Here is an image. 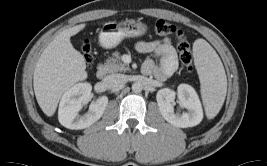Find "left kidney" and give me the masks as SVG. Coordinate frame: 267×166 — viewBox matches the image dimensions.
<instances>
[{
    "label": "left kidney",
    "instance_id": "5707ae66",
    "mask_svg": "<svg viewBox=\"0 0 267 166\" xmlns=\"http://www.w3.org/2000/svg\"><path fill=\"white\" fill-rule=\"evenodd\" d=\"M188 110L182 114L174 112L175 97ZM156 100L163 118L175 127L187 128L198 125L203 119V110L198 94L188 84H180L175 91L163 88L157 92Z\"/></svg>",
    "mask_w": 267,
    "mask_h": 166
}]
</instances>
